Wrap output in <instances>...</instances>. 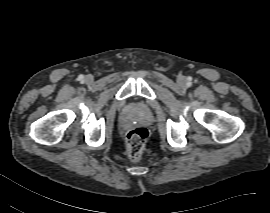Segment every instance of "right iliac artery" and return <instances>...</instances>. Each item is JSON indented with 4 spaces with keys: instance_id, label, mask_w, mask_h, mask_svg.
<instances>
[{
    "instance_id": "obj_1",
    "label": "right iliac artery",
    "mask_w": 270,
    "mask_h": 213,
    "mask_svg": "<svg viewBox=\"0 0 270 213\" xmlns=\"http://www.w3.org/2000/svg\"><path fill=\"white\" fill-rule=\"evenodd\" d=\"M83 78H84L83 75L79 76V80H83Z\"/></svg>"
}]
</instances>
